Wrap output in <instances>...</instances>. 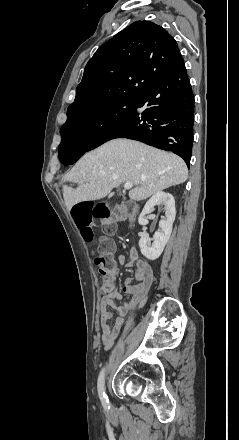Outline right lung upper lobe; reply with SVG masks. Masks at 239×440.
Instances as JSON below:
<instances>
[{"label": "right lung upper lobe", "instance_id": "right-lung-upper-lobe-1", "mask_svg": "<svg viewBox=\"0 0 239 440\" xmlns=\"http://www.w3.org/2000/svg\"><path fill=\"white\" fill-rule=\"evenodd\" d=\"M181 59L175 39L164 28L150 21L134 22L99 47L89 60L67 117L116 97L139 98Z\"/></svg>", "mask_w": 239, "mask_h": 440}]
</instances>
